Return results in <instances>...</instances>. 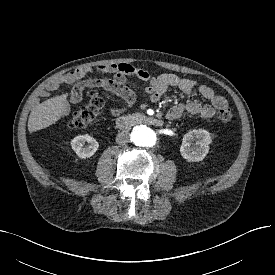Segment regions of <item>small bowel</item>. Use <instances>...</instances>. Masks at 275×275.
Segmentation results:
<instances>
[{
	"instance_id": "small-bowel-1",
	"label": "small bowel",
	"mask_w": 275,
	"mask_h": 275,
	"mask_svg": "<svg viewBox=\"0 0 275 275\" xmlns=\"http://www.w3.org/2000/svg\"><path fill=\"white\" fill-rule=\"evenodd\" d=\"M114 74L112 79H95L82 81L88 75ZM135 75L148 83L146 92L153 102L159 101L169 88H177L187 96H191L195 90L207 103L191 100L186 104H176L167 112L169 120L178 119L184 111L202 119L212 118L216 111L228 105L227 100L215 93L207 86H197L192 80L181 78L175 74L165 73L153 76L148 71L135 68L129 64H111L95 67H80L76 70L58 77L51 85V89H57L62 84H73V89L67 99V104H77L82 100L83 92L88 87H102L120 97L126 106L134 103V95L126 84V76ZM121 109L112 108V114H118Z\"/></svg>"
}]
</instances>
